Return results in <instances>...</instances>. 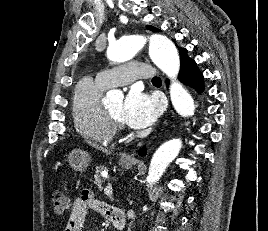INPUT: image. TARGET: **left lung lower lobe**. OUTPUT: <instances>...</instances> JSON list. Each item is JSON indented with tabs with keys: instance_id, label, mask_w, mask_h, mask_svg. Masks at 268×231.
Returning <instances> with one entry per match:
<instances>
[{
	"instance_id": "left-lung-lower-lobe-1",
	"label": "left lung lower lobe",
	"mask_w": 268,
	"mask_h": 231,
	"mask_svg": "<svg viewBox=\"0 0 268 231\" xmlns=\"http://www.w3.org/2000/svg\"><path fill=\"white\" fill-rule=\"evenodd\" d=\"M179 80L182 83L193 87L197 92L203 90V75L198 69L196 62L191 58L185 59L181 64ZM140 154L145 155V150H141Z\"/></svg>"
}]
</instances>
